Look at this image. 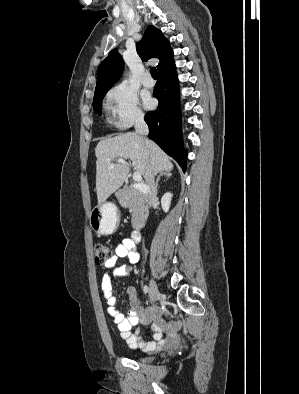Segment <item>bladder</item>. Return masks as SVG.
Returning <instances> with one entry per match:
<instances>
[{
    "label": "bladder",
    "mask_w": 299,
    "mask_h": 394,
    "mask_svg": "<svg viewBox=\"0 0 299 394\" xmlns=\"http://www.w3.org/2000/svg\"><path fill=\"white\" fill-rule=\"evenodd\" d=\"M141 361H145V359H144V358H142V359H141Z\"/></svg>",
    "instance_id": "1"
}]
</instances>
